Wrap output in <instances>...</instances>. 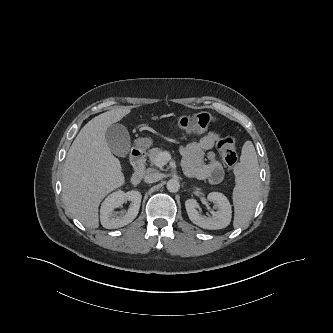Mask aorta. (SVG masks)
<instances>
[{
    "mask_svg": "<svg viewBox=\"0 0 333 333\" xmlns=\"http://www.w3.org/2000/svg\"><path fill=\"white\" fill-rule=\"evenodd\" d=\"M167 189L169 192L176 193L180 189V183L177 179H170L167 182Z\"/></svg>",
    "mask_w": 333,
    "mask_h": 333,
    "instance_id": "aorta-1",
    "label": "aorta"
}]
</instances>
